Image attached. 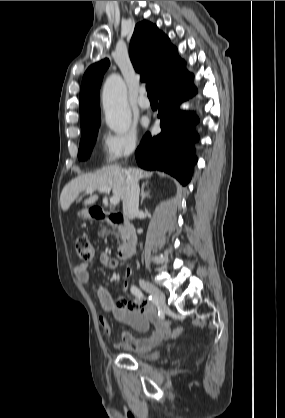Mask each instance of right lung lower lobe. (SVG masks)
<instances>
[{"label": "right lung lower lobe", "instance_id": "98d812e1", "mask_svg": "<svg viewBox=\"0 0 285 418\" xmlns=\"http://www.w3.org/2000/svg\"><path fill=\"white\" fill-rule=\"evenodd\" d=\"M196 93L193 75L184 72L159 94L161 133L151 137L146 133L135 152L138 165L147 170H161L186 185L197 163L194 143L199 140L195 125L199 122L194 112H184L180 104Z\"/></svg>", "mask_w": 285, "mask_h": 418}]
</instances>
